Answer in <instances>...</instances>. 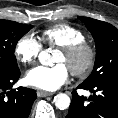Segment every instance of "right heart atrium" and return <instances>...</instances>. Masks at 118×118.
Here are the masks:
<instances>
[{
  "label": "right heart atrium",
  "mask_w": 118,
  "mask_h": 118,
  "mask_svg": "<svg viewBox=\"0 0 118 118\" xmlns=\"http://www.w3.org/2000/svg\"><path fill=\"white\" fill-rule=\"evenodd\" d=\"M41 49L40 41L32 33H26L16 42L14 55L19 62L31 64L37 60Z\"/></svg>",
  "instance_id": "d8ad5b80"
}]
</instances>
